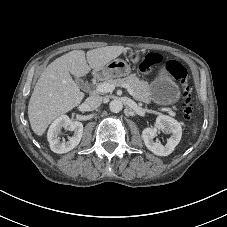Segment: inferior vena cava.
<instances>
[{"mask_svg": "<svg viewBox=\"0 0 227 227\" xmlns=\"http://www.w3.org/2000/svg\"><path fill=\"white\" fill-rule=\"evenodd\" d=\"M101 103H102L101 96L92 95L85 100L84 106H85L86 110L92 111V110L97 109L101 105Z\"/></svg>", "mask_w": 227, "mask_h": 227, "instance_id": "obj_1", "label": "inferior vena cava"}]
</instances>
